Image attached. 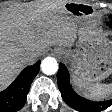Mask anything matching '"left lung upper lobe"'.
Returning <instances> with one entry per match:
<instances>
[{"label":"left lung upper lobe","mask_w":112,"mask_h":112,"mask_svg":"<svg viewBox=\"0 0 112 112\" xmlns=\"http://www.w3.org/2000/svg\"><path fill=\"white\" fill-rule=\"evenodd\" d=\"M109 18H110V21H112V15H111V16H109Z\"/></svg>","instance_id":"left-lung-upper-lobe-1"}]
</instances>
